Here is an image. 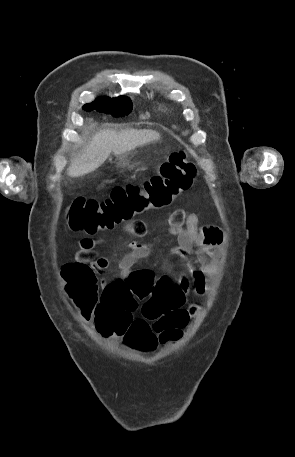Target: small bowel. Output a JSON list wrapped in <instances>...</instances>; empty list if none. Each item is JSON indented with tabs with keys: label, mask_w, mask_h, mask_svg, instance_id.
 <instances>
[{
	"label": "small bowel",
	"mask_w": 295,
	"mask_h": 457,
	"mask_svg": "<svg viewBox=\"0 0 295 457\" xmlns=\"http://www.w3.org/2000/svg\"><path fill=\"white\" fill-rule=\"evenodd\" d=\"M123 231L129 236L142 238L146 234V225L142 220H132L123 226ZM169 233L176 236L178 242L172 249V254L185 259L188 263L187 274L181 275L175 285L177 289L175 299L183 305L191 292L202 296L206 291L207 277L216 273L221 255L223 232L216 226L199 227V215L196 212L186 214L184 210L176 209L169 218ZM96 245L95 238L83 237L79 242L76 261L89 262L95 269L103 270L107 268L108 260L96 255L94 251ZM128 247L130 252L119 264V271L124 281L127 275L133 272L134 265L147 258L151 251L150 244L138 240L131 241ZM106 284L107 282H103L104 286ZM197 309V306L188 309V320L196 314Z\"/></svg>",
	"instance_id": "c3829d8e"
}]
</instances>
